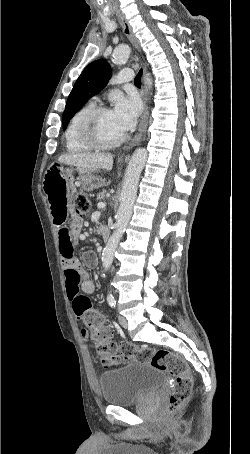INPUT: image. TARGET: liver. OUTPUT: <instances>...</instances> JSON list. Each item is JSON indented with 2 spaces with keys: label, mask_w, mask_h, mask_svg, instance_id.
I'll return each mask as SVG.
<instances>
[{
  "label": "liver",
  "mask_w": 250,
  "mask_h": 454,
  "mask_svg": "<svg viewBox=\"0 0 250 454\" xmlns=\"http://www.w3.org/2000/svg\"><path fill=\"white\" fill-rule=\"evenodd\" d=\"M58 162L77 168L110 171L113 165V156L109 153H68L61 155L58 158Z\"/></svg>",
  "instance_id": "obj_1"
}]
</instances>
